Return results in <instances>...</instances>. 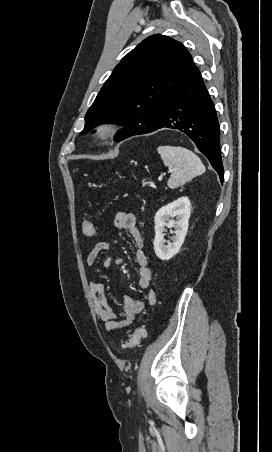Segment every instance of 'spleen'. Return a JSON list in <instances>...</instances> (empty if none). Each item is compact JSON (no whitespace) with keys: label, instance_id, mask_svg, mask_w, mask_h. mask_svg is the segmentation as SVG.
Masks as SVG:
<instances>
[{"label":"spleen","instance_id":"1","mask_svg":"<svg viewBox=\"0 0 272 452\" xmlns=\"http://www.w3.org/2000/svg\"><path fill=\"white\" fill-rule=\"evenodd\" d=\"M157 152L171 171L168 186L177 188L205 172V166L192 151L183 147L159 146Z\"/></svg>","mask_w":272,"mask_h":452}]
</instances>
